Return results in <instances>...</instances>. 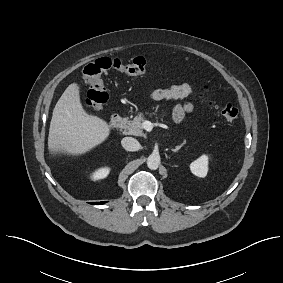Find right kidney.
<instances>
[{
	"label": "right kidney",
	"instance_id": "obj_1",
	"mask_svg": "<svg viewBox=\"0 0 283 283\" xmlns=\"http://www.w3.org/2000/svg\"><path fill=\"white\" fill-rule=\"evenodd\" d=\"M109 172H110V168L108 167L100 168L91 174V179L92 180L104 179L108 176Z\"/></svg>",
	"mask_w": 283,
	"mask_h": 283
}]
</instances>
